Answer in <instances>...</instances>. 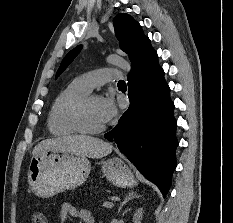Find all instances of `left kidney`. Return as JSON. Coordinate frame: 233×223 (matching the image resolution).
Wrapping results in <instances>:
<instances>
[{"label": "left kidney", "mask_w": 233, "mask_h": 223, "mask_svg": "<svg viewBox=\"0 0 233 223\" xmlns=\"http://www.w3.org/2000/svg\"><path fill=\"white\" fill-rule=\"evenodd\" d=\"M142 215H143V209L142 207H139V209H136L133 215L134 223H141Z\"/></svg>", "instance_id": "obj_1"}]
</instances>
